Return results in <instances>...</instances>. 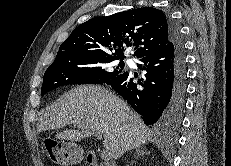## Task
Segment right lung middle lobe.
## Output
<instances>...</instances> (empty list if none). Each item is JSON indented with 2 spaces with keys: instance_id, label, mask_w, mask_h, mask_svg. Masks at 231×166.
<instances>
[{
  "instance_id": "right-lung-middle-lobe-1",
  "label": "right lung middle lobe",
  "mask_w": 231,
  "mask_h": 166,
  "mask_svg": "<svg viewBox=\"0 0 231 166\" xmlns=\"http://www.w3.org/2000/svg\"><path fill=\"white\" fill-rule=\"evenodd\" d=\"M114 56L81 54L55 58L43 77L41 95L68 84H101L123 73L124 62L118 65Z\"/></svg>"
}]
</instances>
